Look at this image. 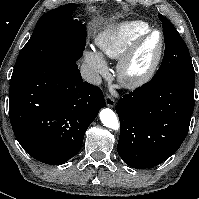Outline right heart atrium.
<instances>
[{
    "instance_id": "right-heart-atrium-1",
    "label": "right heart atrium",
    "mask_w": 199,
    "mask_h": 199,
    "mask_svg": "<svg viewBox=\"0 0 199 199\" xmlns=\"http://www.w3.org/2000/svg\"><path fill=\"white\" fill-rule=\"evenodd\" d=\"M85 61L94 74L104 75L107 71L106 63L96 51L90 50L85 53Z\"/></svg>"
}]
</instances>
